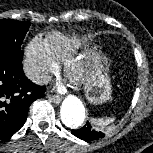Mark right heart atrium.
I'll return each mask as SVG.
<instances>
[{"label":"right heart atrium","instance_id":"1","mask_svg":"<svg viewBox=\"0 0 153 153\" xmlns=\"http://www.w3.org/2000/svg\"><path fill=\"white\" fill-rule=\"evenodd\" d=\"M24 70L28 77L37 84L46 82L57 69V61L52 56L46 41L33 38L24 53Z\"/></svg>","mask_w":153,"mask_h":153}]
</instances>
